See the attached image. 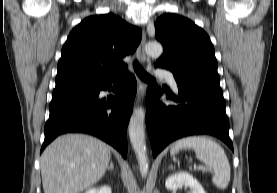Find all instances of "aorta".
Masks as SVG:
<instances>
[{
	"label": "aorta",
	"instance_id": "1",
	"mask_svg": "<svg viewBox=\"0 0 277 193\" xmlns=\"http://www.w3.org/2000/svg\"><path fill=\"white\" fill-rule=\"evenodd\" d=\"M145 51L149 56L159 57L163 52V47L158 42H149L145 46ZM144 123V110L142 108L135 109L129 122V137L136 157L138 159V164L142 177L147 176L149 169Z\"/></svg>",
	"mask_w": 277,
	"mask_h": 193
}]
</instances>
